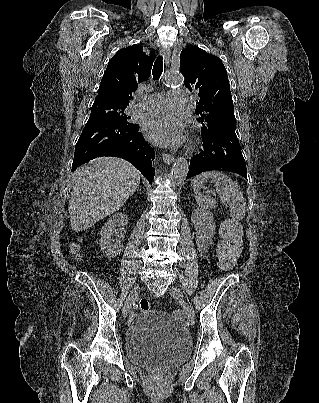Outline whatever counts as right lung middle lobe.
Returning <instances> with one entry per match:
<instances>
[{
	"instance_id": "dd1d6c3e",
	"label": "right lung middle lobe",
	"mask_w": 319,
	"mask_h": 403,
	"mask_svg": "<svg viewBox=\"0 0 319 403\" xmlns=\"http://www.w3.org/2000/svg\"><path fill=\"white\" fill-rule=\"evenodd\" d=\"M126 107L127 106L123 105L94 103L92 105V110L88 122L102 120L129 124L128 119H130V117H128L124 113Z\"/></svg>"
}]
</instances>
